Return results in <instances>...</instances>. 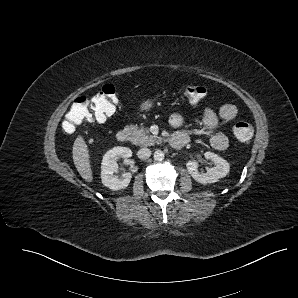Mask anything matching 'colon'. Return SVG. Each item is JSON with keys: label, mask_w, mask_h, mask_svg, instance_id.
<instances>
[{"label": "colon", "mask_w": 298, "mask_h": 298, "mask_svg": "<svg viewBox=\"0 0 298 298\" xmlns=\"http://www.w3.org/2000/svg\"><path fill=\"white\" fill-rule=\"evenodd\" d=\"M179 90L185 100L194 104L202 101L207 94L204 87L194 84H183ZM116 104V89L106 84L91 97H77L65 115L63 127L67 132H74L84 122H103L115 112ZM233 132L237 140L243 143L250 142L253 137V127L245 121L237 122Z\"/></svg>", "instance_id": "colon-1"}]
</instances>
